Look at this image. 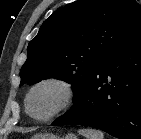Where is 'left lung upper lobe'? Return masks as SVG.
I'll list each match as a JSON object with an SVG mask.
<instances>
[{"instance_id":"left-lung-upper-lobe-1","label":"left lung upper lobe","mask_w":141,"mask_h":139,"mask_svg":"<svg viewBox=\"0 0 141 139\" xmlns=\"http://www.w3.org/2000/svg\"><path fill=\"white\" fill-rule=\"evenodd\" d=\"M141 28L135 0H78L55 11L29 43L20 86L57 78L75 102L107 54Z\"/></svg>"}]
</instances>
